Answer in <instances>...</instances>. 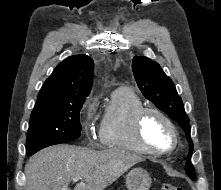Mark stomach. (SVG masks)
Segmentation results:
<instances>
[{
  "instance_id": "1",
  "label": "stomach",
  "mask_w": 221,
  "mask_h": 190,
  "mask_svg": "<svg viewBox=\"0 0 221 190\" xmlns=\"http://www.w3.org/2000/svg\"><path fill=\"white\" fill-rule=\"evenodd\" d=\"M151 183L149 173L140 167L132 169L126 176L128 190H149Z\"/></svg>"
}]
</instances>
